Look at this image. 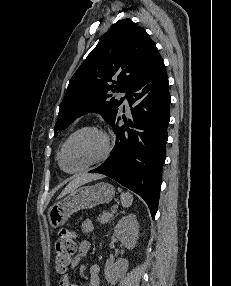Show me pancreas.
<instances>
[{"label": "pancreas", "instance_id": "1", "mask_svg": "<svg viewBox=\"0 0 231 286\" xmlns=\"http://www.w3.org/2000/svg\"><path fill=\"white\" fill-rule=\"evenodd\" d=\"M114 212L104 211L102 215L99 216V221L102 224L110 222L111 218L113 217Z\"/></svg>", "mask_w": 231, "mask_h": 286}]
</instances>
